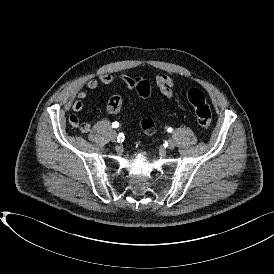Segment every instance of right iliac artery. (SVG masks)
Returning <instances> with one entry per match:
<instances>
[{"instance_id":"1","label":"right iliac artery","mask_w":274,"mask_h":274,"mask_svg":"<svg viewBox=\"0 0 274 274\" xmlns=\"http://www.w3.org/2000/svg\"><path fill=\"white\" fill-rule=\"evenodd\" d=\"M112 127L113 128H118L119 127V123L117 121L112 123ZM124 140V134L123 133H119L117 136V141L118 142H122Z\"/></svg>"}]
</instances>
